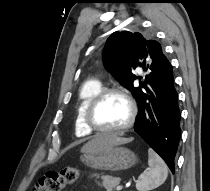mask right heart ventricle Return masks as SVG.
I'll return each instance as SVG.
<instances>
[{
	"instance_id": "right-heart-ventricle-1",
	"label": "right heart ventricle",
	"mask_w": 210,
	"mask_h": 191,
	"mask_svg": "<svg viewBox=\"0 0 210 191\" xmlns=\"http://www.w3.org/2000/svg\"><path fill=\"white\" fill-rule=\"evenodd\" d=\"M100 90L102 86L96 80L86 81L80 88L75 117V133L78 136H89L93 133L85 124L84 114L89 102Z\"/></svg>"
}]
</instances>
